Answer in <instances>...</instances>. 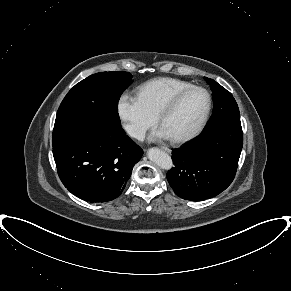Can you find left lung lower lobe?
<instances>
[{
    "instance_id": "obj_1",
    "label": "left lung lower lobe",
    "mask_w": 291,
    "mask_h": 291,
    "mask_svg": "<svg viewBox=\"0 0 291 291\" xmlns=\"http://www.w3.org/2000/svg\"><path fill=\"white\" fill-rule=\"evenodd\" d=\"M243 146L241 124L221 123L204 131L188 145L174 149L166 177L183 199L214 197L233 181Z\"/></svg>"
}]
</instances>
